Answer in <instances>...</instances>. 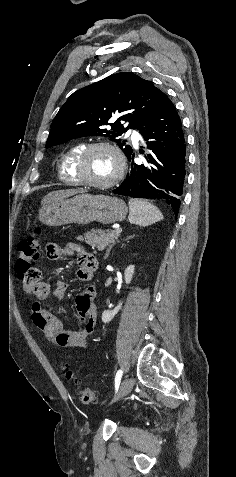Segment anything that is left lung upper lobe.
Here are the masks:
<instances>
[{
    "label": "left lung upper lobe",
    "mask_w": 236,
    "mask_h": 477,
    "mask_svg": "<svg viewBox=\"0 0 236 477\" xmlns=\"http://www.w3.org/2000/svg\"><path fill=\"white\" fill-rule=\"evenodd\" d=\"M161 94L151 81L132 72L113 74L79 89L55 116L45 147L84 136H108L128 158L133 153L132 147L116 137L128 128L138 129L142 134L157 113ZM122 121L129 125L125 128Z\"/></svg>",
    "instance_id": "5c2ea615"
}]
</instances>
